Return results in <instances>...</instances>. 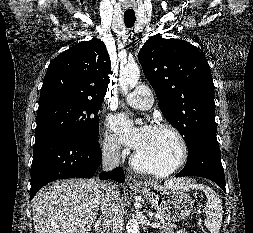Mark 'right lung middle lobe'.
Returning a JSON list of instances; mask_svg holds the SVG:
<instances>
[{"label":"right lung middle lobe","instance_id":"dd1d6c3e","mask_svg":"<svg viewBox=\"0 0 253 233\" xmlns=\"http://www.w3.org/2000/svg\"><path fill=\"white\" fill-rule=\"evenodd\" d=\"M102 102L54 98L39 103L35 136L63 134L86 143H97L98 110Z\"/></svg>","mask_w":253,"mask_h":233}]
</instances>
